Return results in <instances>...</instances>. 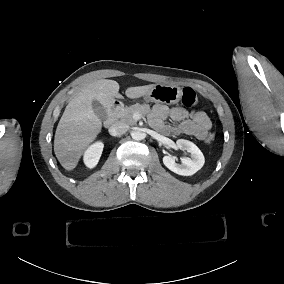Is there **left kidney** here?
<instances>
[{"label":"left kidney","mask_w":284,"mask_h":284,"mask_svg":"<svg viewBox=\"0 0 284 284\" xmlns=\"http://www.w3.org/2000/svg\"><path fill=\"white\" fill-rule=\"evenodd\" d=\"M176 146L179 149H184L188 156L181 157V164L176 163V156H164L163 163L169 170L178 175L190 176L204 166V155L193 142L185 139H178L176 141Z\"/></svg>","instance_id":"1"}]
</instances>
